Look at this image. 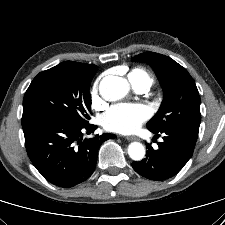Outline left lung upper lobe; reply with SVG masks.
I'll list each match as a JSON object with an SVG mask.
<instances>
[{
	"label": "left lung upper lobe",
	"instance_id": "1",
	"mask_svg": "<svg viewBox=\"0 0 225 225\" xmlns=\"http://www.w3.org/2000/svg\"><path fill=\"white\" fill-rule=\"evenodd\" d=\"M132 60L148 63L164 92L158 112L147 123L148 130L159 132L166 128H177L198 133L200 96L188 71L170 57L154 52H144Z\"/></svg>",
	"mask_w": 225,
	"mask_h": 225
}]
</instances>
